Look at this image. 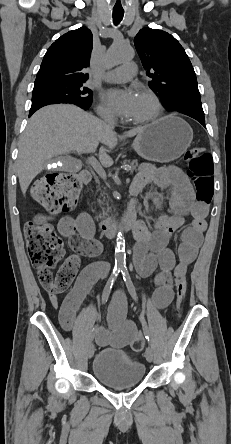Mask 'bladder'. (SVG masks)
Segmentation results:
<instances>
[{
	"mask_svg": "<svg viewBox=\"0 0 231 444\" xmlns=\"http://www.w3.org/2000/svg\"><path fill=\"white\" fill-rule=\"evenodd\" d=\"M92 374L103 385L122 389L140 384L144 378L145 366L138 359L121 351L103 349L93 359Z\"/></svg>",
	"mask_w": 231,
	"mask_h": 444,
	"instance_id": "1",
	"label": "bladder"
}]
</instances>
